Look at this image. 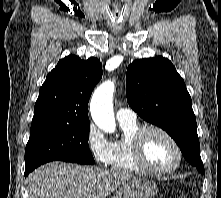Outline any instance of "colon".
Instances as JSON below:
<instances>
[{"mask_svg":"<svg viewBox=\"0 0 221 198\" xmlns=\"http://www.w3.org/2000/svg\"><path fill=\"white\" fill-rule=\"evenodd\" d=\"M177 198H187L186 197V195L185 194H180V195H178V197Z\"/></svg>","mask_w":221,"mask_h":198,"instance_id":"5ec220e1","label":"colon"}]
</instances>
